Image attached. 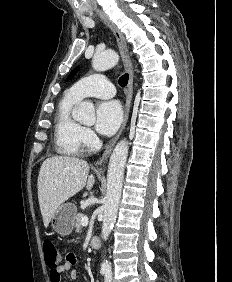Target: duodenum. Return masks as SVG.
I'll use <instances>...</instances> for the list:
<instances>
[{
    "mask_svg": "<svg viewBox=\"0 0 232 282\" xmlns=\"http://www.w3.org/2000/svg\"><path fill=\"white\" fill-rule=\"evenodd\" d=\"M90 246L93 250H99L101 247V241L98 237H93L90 241Z\"/></svg>",
    "mask_w": 232,
    "mask_h": 282,
    "instance_id": "obj_1",
    "label": "duodenum"
}]
</instances>
